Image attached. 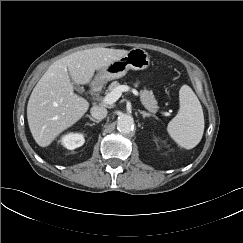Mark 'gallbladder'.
<instances>
[{"mask_svg":"<svg viewBox=\"0 0 243 243\" xmlns=\"http://www.w3.org/2000/svg\"><path fill=\"white\" fill-rule=\"evenodd\" d=\"M75 89H76L77 91H82V88H81L78 84H75Z\"/></svg>","mask_w":243,"mask_h":243,"instance_id":"1","label":"gallbladder"}]
</instances>
